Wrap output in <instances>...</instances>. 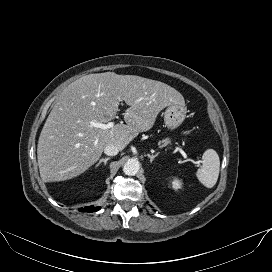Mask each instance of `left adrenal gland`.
Listing matches in <instances>:
<instances>
[{
    "instance_id": "left-adrenal-gland-1",
    "label": "left adrenal gland",
    "mask_w": 272,
    "mask_h": 272,
    "mask_svg": "<svg viewBox=\"0 0 272 272\" xmlns=\"http://www.w3.org/2000/svg\"><path fill=\"white\" fill-rule=\"evenodd\" d=\"M148 158H150V162H153V160L158 156V153L154 154V155H150V154H147L146 155Z\"/></svg>"
}]
</instances>
